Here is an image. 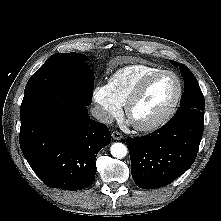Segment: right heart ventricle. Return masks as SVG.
Returning a JSON list of instances; mask_svg holds the SVG:
<instances>
[{
  "mask_svg": "<svg viewBox=\"0 0 221 221\" xmlns=\"http://www.w3.org/2000/svg\"><path fill=\"white\" fill-rule=\"evenodd\" d=\"M160 70V68L147 64H131L115 71L108 79L107 86L115 98L122 106L138 85L147 75Z\"/></svg>",
  "mask_w": 221,
  "mask_h": 221,
  "instance_id": "right-heart-ventricle-1",
  "label": "right heart ventricle"
}]
</instances>
